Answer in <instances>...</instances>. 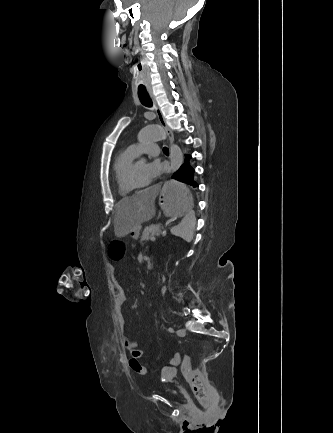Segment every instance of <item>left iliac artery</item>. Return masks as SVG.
<instances>
[{"label":"left iliac artery","instance_id":"44dca946","mask_svg":"<svg viewBox=\"0 0 333 433\" xmlns=\"http://www.w3.org/2000/svg\"><path fill=\"white\" fill-rule=\"evenodd\" d=\"M168 331H169L170 333H173V332H174V329H173L172 327H169V328H168Z\"/></svg>","mask_w":333,"mask_h":433}]
</instances>
